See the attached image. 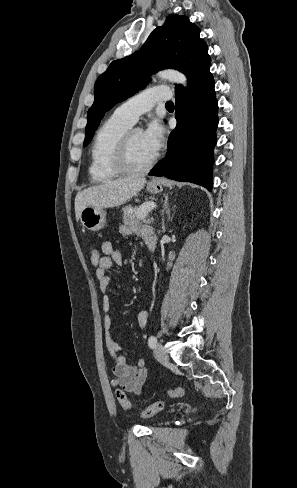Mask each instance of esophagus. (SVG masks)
I'll use <instances>...</instances> for the list:
<instances>
[{
	"instance_id": "obj_1",
	"label": "esophagus",
	"mask_w": 297,
	"mask_h": 488,
	"mask_svg": "<svg viewBox=\"0 0 297 488\" xmlns=\"http://www.w3.org/2000/svg\"><path fill=\"white\" fill-rule=\"evenodd\" d=\"M151 183H152V184H155V183H157V180H152V182H151Z\"/></svg>"
}]
</instances>
